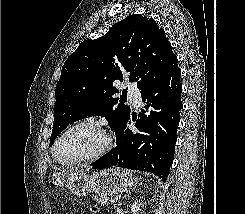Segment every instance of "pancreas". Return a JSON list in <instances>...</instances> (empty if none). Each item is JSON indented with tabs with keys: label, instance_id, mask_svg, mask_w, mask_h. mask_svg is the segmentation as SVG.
<instances>
[{
	"label": "pancreas",
	"instance_id": "1",
	"mask_svg": "<svg viewBox=\"0 0 245 214\" xmlns=\"http://www.w3.org/2000/svg\"><path fill=\"white\" fill-rule=\"evenodd\" d=\"M96 202L101 206L109 205V197L108 195H99L95 198Z\"/></svg>",
	"mask_w": 245,
	"mask_h": 214
}]
</instances>
